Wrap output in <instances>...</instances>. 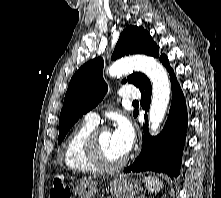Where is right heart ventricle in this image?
I'll list each match as a JSON object with an SVG mask.
<instances>
[{"mask_svg": "<svg viewBox=\"0 0 221 198\" xmlns=\"http://www.w3.org/2000/svg\"><path fill=\"white\" fill-rule=\"evenodd\" d=\"M96 125L85 120L76 126L67 137L64 145V162L69 169L78 172H97L99 170L90 160L87 152V140Z\"/></svg>", "mask_w": 221, "mask_h": 198, "instance_id": "obj_1", "label": "right heart ventricle"}]
</instances>
